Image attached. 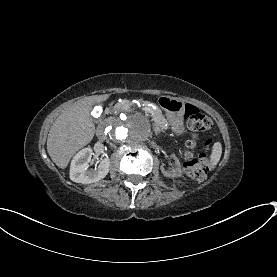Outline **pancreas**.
<instances>
[{"mask_svg":"<svg viewBox=\"0 0 277 277\" xmlns=\"http://www.w3.org/2000/svg\"><path fill=\"white\" fill-rule=\"evenodd\" d=\"M143 112L153 119L154 127L164 126L167 122L166 117L161 116V111L157 105L151 104L148 99L141 98L138 102L125 101L123 99H115L111 101L107 108V113L110 116L119 115L123 112ZM161 116V117H160Z\"/></svg>","mask_w":277,"mask_h":277,"instance_id":"pancreas-1","label":"pancreas"}]
</instances>
